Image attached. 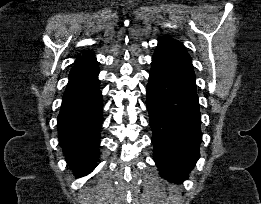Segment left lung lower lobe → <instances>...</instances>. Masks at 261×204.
Returning <instances> with one entry per match:
<instances>
[{"instance_id":"left-lung-lower-lobe-1","label":"left lung lower lobe","mask_w":261,"mask_h":204,"mask_svg":"<svg viewBox=\"0 0 261 204\" xmlns=\"http://www.w3.org/2000/svg\"><path fill=\"white\" fill-rule=\"evenodd\" d=\"M146 96L160 175L172 183L183 182L199 159L202 132L191 57L178 40L158 39Z\"/></svg>"}]
</instances>
